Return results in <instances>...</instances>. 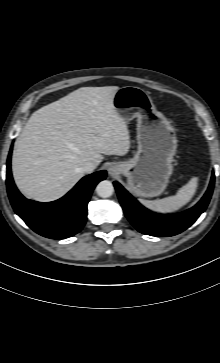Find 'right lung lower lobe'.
Listing matches in <instances>:
<instances>
[{
	"label": "right lung lower lobe",
	"mask_w": 220,
	"mask_h": 363,
	"mask_svg": "<svg viewBox=\"0 0 220 363\" xmlns=\"http://www.w3.org/2000/svg\"><path fill=\"white\" fill-rule=\"evenodd\" d=\"M11 152L7 159V191L14 211L36 233L51 239H64L78 233L87 217V204L96 184L106 178L99 171L82 178L59 200L41 203L28 200L17 190L11 174Z\"/></svg>",
	"instance_id": "1"
}]
</instances>
